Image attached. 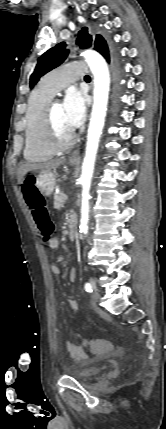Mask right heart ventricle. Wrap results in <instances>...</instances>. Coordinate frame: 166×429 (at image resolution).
I'll return each mask as SVG.
<instances>
[{
	"label": "right heart ventricle",
	"instance_id": "obj_1",
	"mask_svg": "<svg viewBox=\"0 0 166 429\" xmlns=\"http://www.w3.org/2000/svg\"><path fill=\"white\" fill-rule=\"evenodd\" d=\"M53 94L36 88L30 95L25 113L24 157L30 162H44L50 159L54 151L47 147L43 137V116L46 105Z\"/></svg>",
	"mask_w": 166,
	"mask_h": 429
}]
</instances>
